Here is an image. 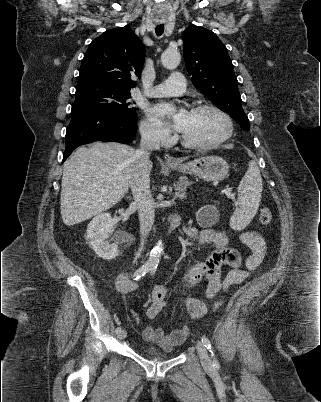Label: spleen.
Listing matches in <instances>:
<instances>
[{
	"mask_svg": "<svg viewBox=\"0 0 321 402\" xmlns=\"http://www.w3.org/2000/svg\"><path fill=\"white\" fill-rule=\"evenodd\" d=\"M262 178L256 162L251 160L238 186V205L230 218L233 230L244 229L255 216L261 201Z\"/></svg>",
	"mask_w": 321,
	"mask_h": 402,
	"instance_id": "spleen-1",
	"label": "spleen"
}]
</instances>
